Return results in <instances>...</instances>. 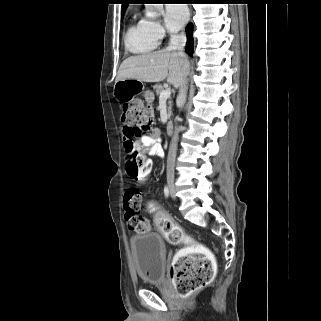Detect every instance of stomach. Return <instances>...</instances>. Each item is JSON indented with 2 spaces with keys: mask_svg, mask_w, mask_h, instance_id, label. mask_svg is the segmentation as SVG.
<instances>
[{
  "mask_svg": "<svg viewBox=\"0 0 321 321\" xmlns=\"http://www.w3.org/2000/svg\"><path fill=\"white\" fill-rule=\"evenodd\" d=\"M143 88L144 85L141 81L135 79L120 80L114 85V96L119 102L127 103Z\"/></svg>",
  "mask_w": 321,
  "mask_h": 321,
  "instance_id": "obj_1",
  "label": "stomach"
}]
</instances>
